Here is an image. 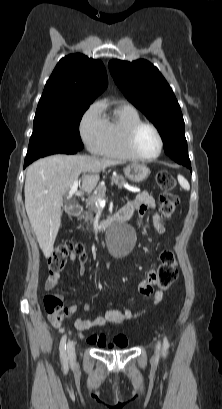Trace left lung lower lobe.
I'll return each instance as SVG.
<instances>
[{
  "label": "left lung lower lobe",
  "mask_w": 222,
  "mask_h": 409,
  "mask_svg": "<svg viewBox=\"0 0 222 409\" xmlns=\"http://www.w3.org/2000/svg\"><path fill=\"white\" fill-rule=\"evenodd\" d=\"M177 163L182 164V165L186 166L187 168H189V169L191 170V162H190V160H182V161H179V162H177Z\"/></svg>",
  "instance_id": "left-lung-lower-lobe-1"
}]
</instances>
